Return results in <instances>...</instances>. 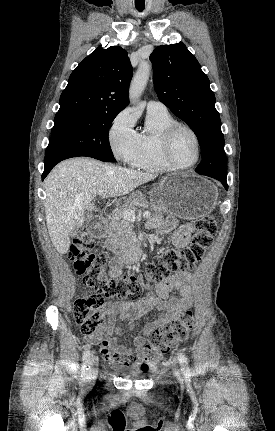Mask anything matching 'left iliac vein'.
Masks as SVG:
<instances>
[{
  "mask_svg": "<svg viewBox=\"0 0 275 431\" xmlns=\"http://www.w3.org/2000/svg\"><path fill=\"white\" fill-rule=\"evenodd\" d=\"M174 374L178 380L182 379V374L178 368H174Z\"/></svg>",
  "mask_w": 275,
  "mask_h": 431,
  "instance_id": "left-iliac-vein-1",
  "label": "left iliac vein"
}]
</instances>
